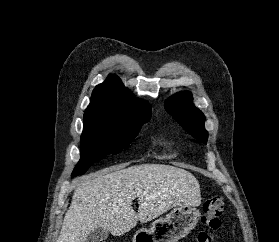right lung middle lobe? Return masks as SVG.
I'll return each instance as SVG.
<instances>
[{
    "label": "right lung middle lobe",
    "instance_id": "obj_1",
    "mask_svg": "<svg viewBox=\"0 0 279 242\" xmlns=\"http://www.w3.org/2000/svg\"><path fill=\"white\" fill-rule=\"evenodd\" d=\"M145 121L143 123H146ZM143 123L118 124L103 119H84L81 136V159L71 177L84 174L95 162L108 154L126 149L138 135Z\"/></svg>",
    "mask_w": 279,
    "mask_h": 242
}]
</instances>
